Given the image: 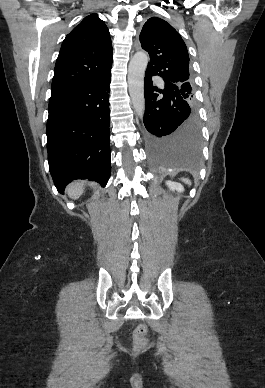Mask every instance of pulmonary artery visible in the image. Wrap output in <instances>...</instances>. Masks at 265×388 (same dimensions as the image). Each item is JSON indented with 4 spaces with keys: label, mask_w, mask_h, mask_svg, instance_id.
Returning a JSON list of instances; mask_svg holds the SVG:
<instances>
[{
    "label": "pulmonary artery",
    "mask_w": 265,
    "mask_h": 388,
    "mask_svg": "<svg viewBox=\"0 0 265 388\" xmlns=\"http://www.w3.org/2000/svg\"><path fill=\"white\" fill-rule=\"evenodd\" d=\"M154 80H155L156 82H161V81L163 80V77H162L161 75H156V76L154 77Z\"/></svg>",
    "instance_id": "pulmonary-artery-1"
}]
</instances>
